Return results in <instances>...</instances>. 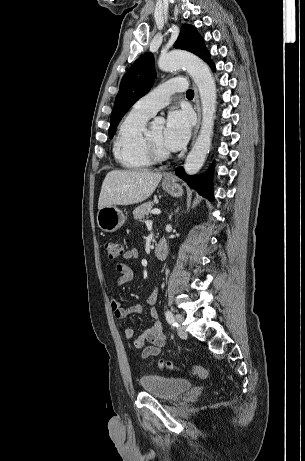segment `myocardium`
<instances>
[{
	"mask_svg": "<svg viewBox=\"0 0 305 461\" xmlns=\"http://www.w3.org/2000/svg\"><path fill=\"white\" fill-rule=\"evenodd\" d=\"M144 147L148 157L152 162H161L167 160L170 157V153L168 151L158 149L157 146L153 143L149 130H145L144 133Z\"/></svg>",
	"mask_w": 305,
	"mask_h": 461,
	"instance_id": "myocardium-1",
	"label": "myocardium"
}]
</instances>
